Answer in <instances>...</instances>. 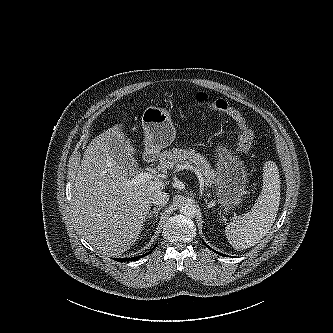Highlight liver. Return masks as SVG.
Listing matches in <instances>:
<instances>
[{"label":"liver","mask_w":333,"mask_h":333,"mask_svg":"<svg viewBox=\"0 0 333 333\" xmlns=\"http://www.w3.org/2000/svg\"><path fill=\"white\" fill-rule=\"evenodd\" d=\"M120 127L115 125L87 146L71 203L79 233L100 253L111 257L120 256L137 241L153 194L165 188L159 179L129 182L127 169L111 152L110 142L116 137L127 155L135 153Z\"/></svg>","instance_id":"6515ba94"}]
</instances>
